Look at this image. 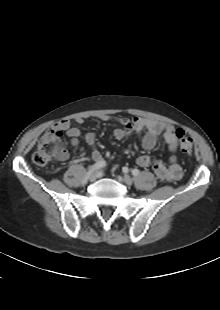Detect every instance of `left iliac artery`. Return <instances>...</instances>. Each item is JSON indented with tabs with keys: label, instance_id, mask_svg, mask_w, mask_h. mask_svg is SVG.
<instances>
[{
	"label": "left iliac artery",
	"instance_id": "obj_1",
	"mask_svg": "<svg viewBox=\"0 0 220 310\" xmlns=\"http://www.w3.org/2000/svg\"><path fill=\"white\" fill-rule=\"evenodd\" d=\"M139 173H140V172H139L138 169H133V170H132V174H133L134 176H137Z\"/></svg>",
	"mask_w": 220,
	"mask_h": 310
}]
</instances>
